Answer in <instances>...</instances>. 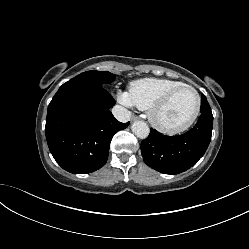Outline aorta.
<instances>
[{
  "mask_svg": "<svg viewBox=\"0 0 249 249\" xmlns=\"http://www.w3.org/2000/svg\"><path fill=\"white\" fill-rule=\"evenodd\" d=\"M132 132L140 139L148 137L150 129L148 125L141 120L135 121L131 126Z\"/></svg>",
  "mask_w": 249,
  "mask_h": 249,
  "instance_id": "1",
  "label": "aorta"
}]
</instances>
